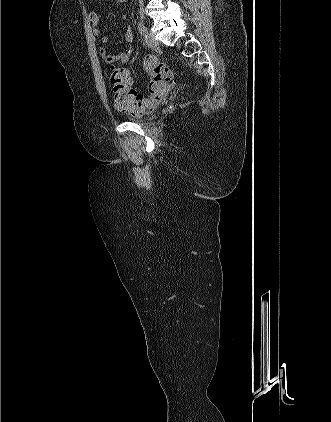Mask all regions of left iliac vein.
<instances>
[{
  "mask_svg": "<svg viewBox=\"0 0 331 422\" xmlns=\"http://www.w3.org/2000/svg\"><path fill=\"white\" fill-rule=\"evenodd\" d=\"M145 43L148 47L152 49H157L159 47V43L155 40L150 32H146L145 36Z\"/></svg>",
  "mask_w": 331,
  "mask_h": 422,
  "instance_id": "obj_1",
  "label": "left iliac vein"
}]
</instances>
